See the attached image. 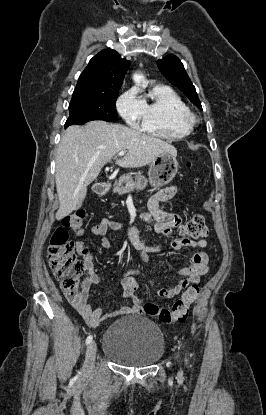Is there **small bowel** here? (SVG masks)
<instances>
[{
	"label": "small bowel",
	"mask_w": 266,
	"mask_h": 415,
	"mask_svg": "<svg viewBox=\"0 0 266 415\" xmlns=\"http://www.w3.org/2000/svg\"><path fill=\"white\" fill-rule=\"evenodd\" d=\"M178 192L176 186L166 187L153 194L147 203L148 211L139 215V219L151 225L154 230L164 235H170L174 229L179 226L181 218L179 215L164 211L160 208V203L173 198ZM123 225L109 220H102L99 224L94 225L91 231L94 235L100 236V244L103 248L110 247V241L106 237L108 230H120ZM131 244L140 253V260L144 263L147 256L152 253H160L162 249L159 246L147 245L135 226L131 227L128 232ZM207 242L204 239L193 240L190 238L175 239L171 243L174 250L182 248L201 249L206 247ZM76 250L85 265L86 276L82 281L78 298L70 302L78 314L85 320L91 328H98L100 324L110 318L122 315L142 313L141 299L136 296L138 284L133 278L134 275L141 273L139 268H130L121 274L122 286L124 288V297L131 301L130 305L123 306L120 309L103 315L100 309H93L88 304L87 299L91 288L100 281L101 276L94 268V255L89 251L83 240L76 242ZM209 272V257L206 252L199 251L194 253L189 264L179 271L182 279L171 288H162L158 291V296L171 299L177 296L183 289L191 284H197L200 277Z\"/></svg>",
	"instance_id": "c3829d8e"
}]
</instances>
